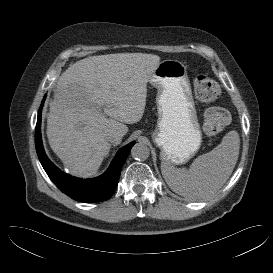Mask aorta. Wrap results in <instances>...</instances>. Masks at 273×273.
<instances>
[{"label": "aorta", "instance_id": "aorta-1", "mask_svg": "<svg viewBox=\"0 0 273 273\" xmlns=\"http://www.w3.org/2000/svg\"><path fill=\"white\" fill-rule=\"evenodd\" d=\"M149 154V147L143 143H136L131 149V155L136 160H146Z\"/></svg>", "mask_w": 273, "mask_h": 273}]
</instances>
